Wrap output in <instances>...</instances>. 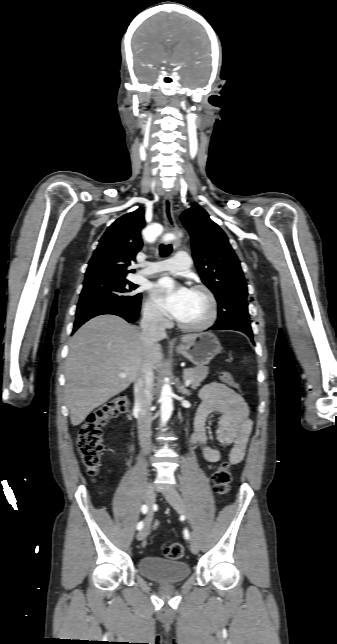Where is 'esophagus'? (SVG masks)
<instances>
[{
    "mask_svg": "<svg viewBox=\"0 0 337 644\" xmlns=\"http://www.w3.org/2000/svg\"><path fill=\"white\" fill-rule=\"evenodd\" d=\"M163 217H164V223L166 228L170 230L174 235H177L178 228L173 216V198L171 193H167L164 196ZM177 245H178V240L176 239L173 242V246L176 247Z\"/></svg>",
    "mask_w": 337,
    "mask_h": 644,
    "instance_id": "1",
    "label": "esophagus"
}]
</instances>
